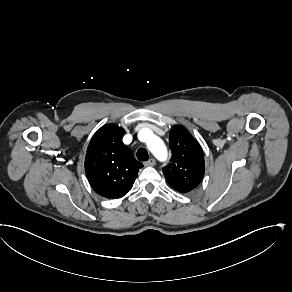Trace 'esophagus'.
I'll use <instances>...</instances> for the list:
<instances>
[{
    "label": "esophagus",
    "instance_id": "34e87169",
    "mask_svg": "<svg viewBox=\"0 0 292 292\" xmlns=\"http://www.w3.org/2000/svg\"><path fill=\"white\" fill-rule=\"evenodd\" d=\"M155 163H156L155 159L152 158V159H150V160L144 162V165H145V166H154Z\"/></svg>",
    "mask_w": 292,
    "mask_h": 292
}]
</instances>
